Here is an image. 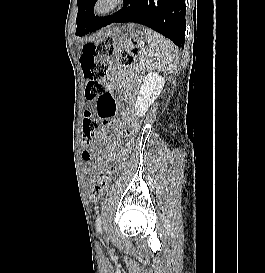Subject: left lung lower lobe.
I'll list each match as a JSON object with an SVG mask.
<instances>
[{"label": "left lung lower lobe", "instance_id": "0a47b994", "mask_svg": "<svg viewBox=\"0 0 265 273\" xmlns=\"http://www.w3.org/2000/svg\"><path fill=\"white\" fill-rule=\"evenodd\" d=\"M185 0H125L122 9L104 18L87 15L76 33L84 36L112 23L145 25L172 40L178 47L185 42Z\"/></svg>", "mask_w": 265, "mask_h": 273}]
</instances>
